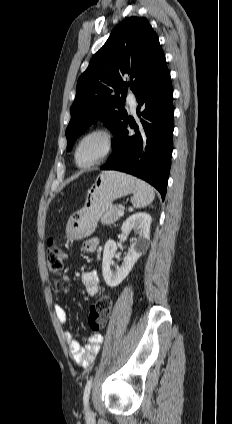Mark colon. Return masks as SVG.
Masks as SVG:
<instances>
[{
  "instance_id": "colon-1",
  "label": "colon",
  "mask_w": 232,
  "mask_h": 424,
  "mask_svg": "<svg viewBox=\"0 0 232 424\" xmlns=\"http://www.w3.org/2000/svg\"><path fill=\"white\" fill-rule=\"evenodd\" d=\"M64 253L55 239H50L46 250V264L50 272L62 269ZM112 309V300L108 296L100 297L91 307L88 324L91 330L99 331L107 321Z\"/></svg>"
}]
</instances>
